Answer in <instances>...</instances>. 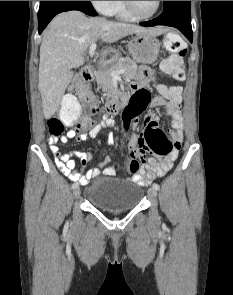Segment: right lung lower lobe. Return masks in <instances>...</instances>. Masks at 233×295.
Here are the masks:
<instances>
[{
  "instance_id": "right-lung-lower-lobe-1",
  "label": "right lung lower lobe",
  "mask_w": 233,
  "mask_h": 295,
  "mask_svg": "<svg viewBox=\"0 0 233 295\" xmlns=\"http://www.w3.org/2000/svg\"><path fill=\"white\" fill-rule=\"evenodd\" d=\"M69 10H79L90 16L97 15L90 1H41L38 12L39 34L55 15Z\"/></svg>"
}]
</instances>
